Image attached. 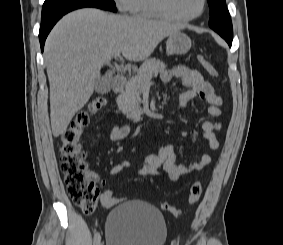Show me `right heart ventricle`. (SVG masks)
I'll list each match as a JSON object with an SVG mask.
<instances>
[{
	"mask_svg": "<svg viewBox=\"0 0 283 245\" xmlns=\"http://www.w3.org/2000/svg\"><path fill=\"white\" fill-rule=\"evenodd\" d=\"M129 11L134 15L164 18L154 9L151 0H131Z\"/></svg>",
	"mask_w": 283,
	"mask_h": 245,
	"instance_id": "right-heart-ventricle-1",
	"label": "right heart ventricle"
}]
</instances>
